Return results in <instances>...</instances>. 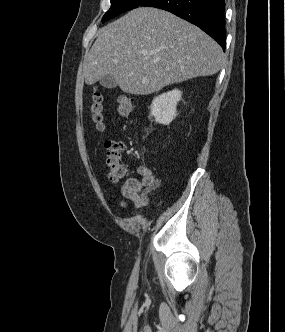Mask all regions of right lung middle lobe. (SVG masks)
<instances>
[{
    "label": "right lung middle lobe",
    "instance_id": "dd1d6c3e",
    "mask_svg": "<svg viewBox=\"0 0 285 332\" xmlns=\"http://www.w3.org/2000/svg\"><path fill=\"white\" fill-rule=\"evenodd\" d=\"M111 7L105 13L102 18V22H105L115 16L119 15L122 12L134 9L144 3L146 0H110Z\"/></svg>",
    "mask_w": 285,
    "mask_h": 332
}]
</instances>
